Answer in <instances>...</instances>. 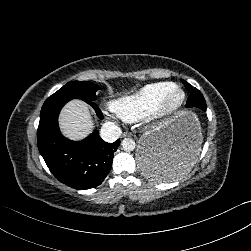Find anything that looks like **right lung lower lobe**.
<instances>
[{
	"instance_id": "right-lung-lower-lobe-1",
	"label": "right lung lower lobe",
	"mask_w": 251,
	"mask_h": 251,
	"mask_svg": "<svg viewBox=\"0 0 251 251\" xmlns=\"http://www.w3.org/2000/svg\"><path fill=\"white\" fill-rule=\"evenodd\" d=\"M69 100L47 99L43 104L38 126V149L60 182L78 190L90 189L99 186L109 173L120 139L107 143L97 131L80 142L65 138L58 127V115ZM87 103L102 119L103 115L94 101Z\"/></svg>"
}]
</instances>
